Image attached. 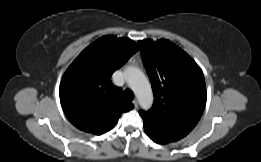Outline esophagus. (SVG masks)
Segmentation results:
<instances>
[{"mask_svg": "<svg viewBox=\"0 0 261 162\" xmlns=\"http://www.w3.org/2000/svg\"><path fill=\"white\" fill-rule=\"evenodd\" d=\"M132 103H133L135 109H137L138 108V101L135 99V100L132 101Z\"/></svg>", "mask_w": 261, "mask_h": 162, "instance_id": "34e87169", "label": "esophagus"}]
</instances>
